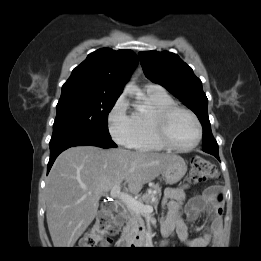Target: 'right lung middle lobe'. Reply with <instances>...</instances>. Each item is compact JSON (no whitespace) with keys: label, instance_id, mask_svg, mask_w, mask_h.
Segmentation results:
<instances>
[{"label":"right lung middle lobe","instance_id":"obj_1","mask_svg":"<svg viewBox=\"0 0 261 261\" xmlns=\"http://www.w3.org/2000/svg\"><path fill=\"white\" fill-rule=\"evenodd\" d=\"M118 97L61 95L52 137L76 132L110 137L107 116Z\"/></svg>","mask_w":261,"mask_h":261}]
</instances>
